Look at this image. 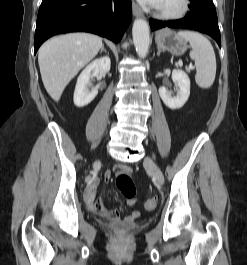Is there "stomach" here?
Here are the masks:
<instances>
[{
	"instance_id": "stomach-1",
	"label": "stomach",
	"mask_w": 247,
	"mask_h": 265,
	"mask_svg": "<svg viewBox=\"0 0 247 265\" xmlns=\"http://www.w3.org/2000/svg\"><path fill=\"white\" fill-rule=\"evenodd\" d=\"M158 48L169 51L171 54L180 56L188 49L187 41L169 29L157 33L155 38Z\"/></svg>"
}]
</instances>
